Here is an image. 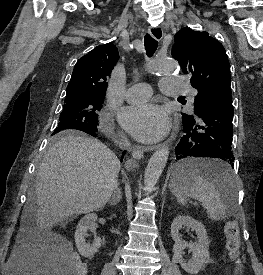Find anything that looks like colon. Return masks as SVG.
Returning a JSON list of instances; mask_svg holds the SVG:
<instances>
[{"mask_svg": "<svg viewBox=\"0 0 263 275\" xmlns=\"http://www.w3.org/2000/svg\"><path fill=\"white\" fill-rule=\"evenodd\" d=\"M226 249L230 260L236 265V271H240V231L235 222H227L225 225ZM58 275H84L85 266L75 253L64 256L58 255Z\"/></svg>", "mask_w": 263, "mask_h": 275, "instance_id": "1", "label": "colon"}]
</instances>
